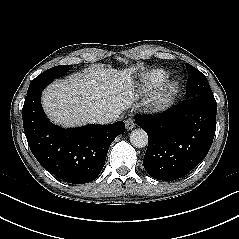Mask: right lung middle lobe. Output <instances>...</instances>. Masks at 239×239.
Instances as JSON below:
<instances>
[{
    "label": "right lung middle lobe",
    "instance_id": "right-lung-middle-lobe-1",
    "mask_svg": "<svg viewBox=\"0 0 239 239\" xmlns=\"http://www.w3.org/2000/svg\"><path fill=\"white\" fill-rule=\"evenodd\" d=\"M72 67V65H61L52 67L39 76H37L32 82L30 83V86L36 85V84H49L51 83L55 78L64 76L68 71L69 68Z\"/></svg>",
    "mask_w": 239,
    "mask_h": 239
}]
</instances>
